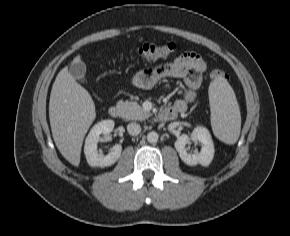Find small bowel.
Returning a JSON list of instances; mask_svg holds the SVG:
<instances>
[{
  "instance_id": "c3829d8e",
  "label": "small bowel",
  "mask_w": 290,
  "mask_h": 236,
  "mask_svg": "<svg viewBox=\"0 0 290 236\" xmlns=\"http://www.w3.org/2000/svg\"><path fill=\"white\" fill-rule=\"evenodd\" d=\"M205 71L206 63L201 55L196 52H186L154 69L137 72L133 77V84L137 88L150 89L164 79H183L186 89L183 96L174 102L172 108L184 111L187 105L195 100Z\"/></svg>"
}]
</instances>
